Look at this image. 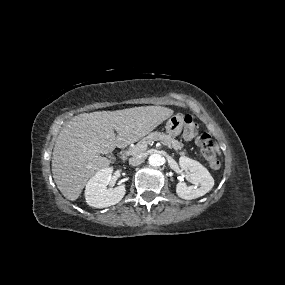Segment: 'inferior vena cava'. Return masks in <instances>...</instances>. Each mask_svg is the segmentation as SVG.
Segmentation results:
<instances>
[{
    "mask_svg": "<svg viewBox=\"0 0 285 285\" xmlns=\"http://www.w3.org/2000/svg\"><path fill=\"white\" fill-rule=\"evenodd\" d=\"M142 162H143V157L141 155H136L129 159V164L132 166H138Z\"/></svg>",
    "mask_w": 285,
    "mask_h": 285,
    "instance_id": "602c4592",
    "label": "inferior vena cava"
}]
</instances>
